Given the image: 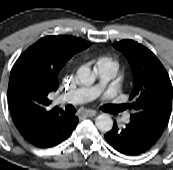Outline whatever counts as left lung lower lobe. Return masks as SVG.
<instances>
[{"mask_svg": "<svg viewBox=\"0 0 173 170\" xmlns=\"http://www.w3.org/2000/svg\"><path fill=\"white\" fill-rule=\"evenodd\" d=\"M159 137L149 128L133 121L121 129L114 122L112 130L105 135L108 143L124 155H139L148 151Z\"/></svg>", "mask_w": 173, "mask_h": 170, "instance_id": "left-lung-lower-lobe-1", "label": "left lung lower lobe"}]
</instances>
